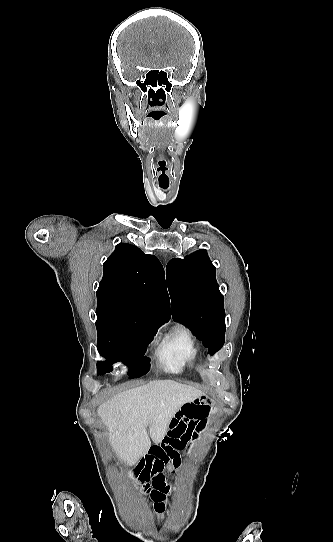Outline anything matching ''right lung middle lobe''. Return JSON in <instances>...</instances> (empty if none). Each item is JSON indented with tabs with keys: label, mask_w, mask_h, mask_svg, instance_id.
I'll return each instance as SVG.
<instances>
[{
	"label": "right lung middle lobe",
	"mask_w": 333,
	"mask_h": 542,
	"mask_svg": "<svg viewBox=\"0 0 333 542\" xmlns=\"http://www.w3.org/2000/svg\"><path fill=\"white\" fill-rule=\"evenodd\" d=\"M97 349L106 360L98 361V375L113 370L112 364L123 362L129 367V378H138L150 369L144 357L147 345L160 327H151L145 319L110 311H96Z\"/></svg>",
	"instance_id": "right-lung-middle-lobe-1"
}]
</instances>
